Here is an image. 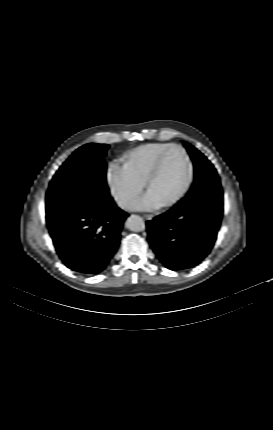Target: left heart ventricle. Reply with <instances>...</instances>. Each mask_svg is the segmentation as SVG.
<instances>
[{
  "mask_svg": "<svg viewBox=\"0 0 273 430\" xmlns=\"http://www.w3.org/2000/svg\"><path fill=\"white\" fill-rule=\"evenodd\" d=\"M187 176L188 166L183 154L172 150L166 155L161 171L150 184L149 191L164 204L178 194Z\"/></svg>",
  "mask_w": 273,
  "mask_h": 430,
  "instance_id": "obj_1",
  "label": "left heart ventricle"
}]
</instances>
